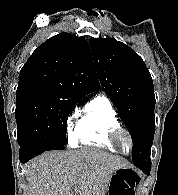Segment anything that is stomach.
I'll use <instances>...</instances> for the list:
<instances>
[{
    "label": "stomach",
    "mask_w": 178,
    "mask_h": 195,
    "mask_svg": "<svg viewBox=\"0 0 178 195\" xmlns=\"http://www.w3.org/2000/svg\"><path fill=\"white\" fill-rule=\"evenodd\" d=\"M134 172L131 168H120L114 171L111 176L109 187H108V195H120L124 194L125 191L122 189H129L125 187L124 184L127 186L126 178Z\"/></svg>",
    "instance_id": "0dacf381"
}]
</instances>
